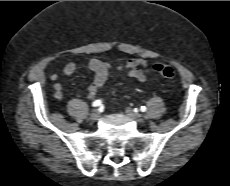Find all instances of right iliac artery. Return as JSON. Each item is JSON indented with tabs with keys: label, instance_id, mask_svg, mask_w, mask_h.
Here are the masks:
<instances>
[{
	"label": "right iliac artery",
	"instance_id": "1",
	"mask_svg": "<svg viewBox=\"0 0 230 186\" xmlns=\"http://www.w3.org/2000/svg\"><path fill=\"white\" fill-rule=\"evenodd\" d=\"M102 104V101L101 100H96L92 103V106L93 107H97V106H100Z\"/></svg>",
	"mask_w": 230,
	"mask_h": 186
}]
</instances>
